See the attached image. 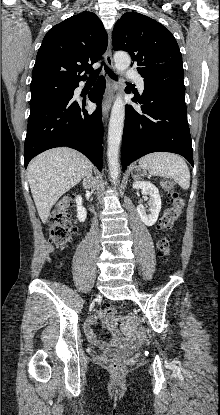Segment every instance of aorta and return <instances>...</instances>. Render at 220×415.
<instances>
[{
    "label": "aorta",
    "instance_id": "obj_1",
    "mask_svg": "<svg viewBox=\"0 0 220 415\" xmlns=\"http://www.w3.org/2000/svg\"><path fill=\"white\" fill-rule=\"evenodd\" d=\"M115 68L118 72H123L130 66L131 58L128 53L118 51L114 54ZM121 91H123L124 83L120 82ZM125 118V104L121 95H118L114 101L108 130V166L112 182L115 184L119 178V150L123 133Z\"/></svg>",
    "mask_w": 220,
    "mask_h": 415
}]
</instances>
